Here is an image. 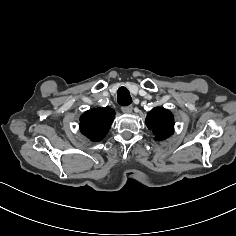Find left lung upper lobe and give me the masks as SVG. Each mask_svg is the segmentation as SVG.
Listing matches in <instances>:
<instances>
[{"mask_svg":"<svg viewBox=\"0 0 236 236\" xmlns=\"http://www.w3.org/2000/svg\"><path fill=\"white\" fill-rule=\"evenodd\" d=\"M145 123L158 141L165 140L174 131V117L169 110L164 108L156 107L152 109L147 114Z\"/></svg>","mask_w":236,"mask_h":236,"instance_id":"left-lung-upper-lobe-1","label":"left lung upper lobe"}]
</instances>
